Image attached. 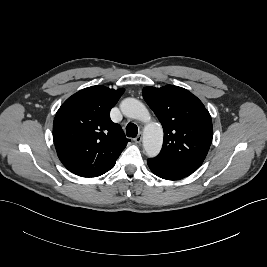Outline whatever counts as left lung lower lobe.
<instances>
[{
	"instance_id": "1",
	"label": "left lung lower lobe",
	"mask_w": 267,
	"mask_h": 267,
	"mask_svg": "<svg viewBox=\"0 0 267 267\" xmlns=\"http://www.w3.org/2000/svg\"><path fill=\"white\" fill-rule=\"evenodd\" d=\"M150 170L160 178L179 180L195 172L198 168L185 164L167 163L150 158L147 161Z\"/></svg>"
}]
</instances>
